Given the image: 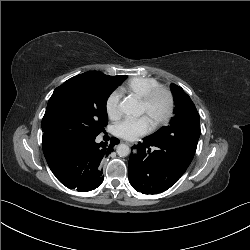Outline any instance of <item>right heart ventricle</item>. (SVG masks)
<instances>
[{"instance_id": "right-heart-ventricle-1", "label": "right heart ventricle", "mask_w": 250, "mask_h": 250, "mask_svg": "<svg viewBox=\"0 0 250 250\" xmlns=\"http://www.w3.org/2000/svg\"><path fill=\"white\" fill-rule=\"evenodd\" d=\"M158 86H160V83L155 78L133 77L129 79L121 89L136 95L138 98H142L146 93Z\"/></svg>"}]
</instances>
